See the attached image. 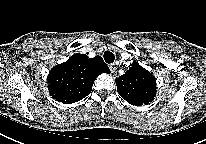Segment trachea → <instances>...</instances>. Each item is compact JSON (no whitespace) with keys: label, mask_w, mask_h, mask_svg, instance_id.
<instances>
[{"label":"trachea","mask_w":206,"mask_h":144,"mask_svg":"<svg viewBox=\"0 0 206 144\" xmlns=\"http://www.w3.org/2000/svg\"><path fill=\"white\" fill-rule=\"evenodd\" d=\"M104 60L107 62V63H109V64H111V63H113L114 62V59H115V56H114V54L112 53V52H110V51H106L105 53H104Z\"/></svg>","instance_id":"3493384b"}]
</instances>
